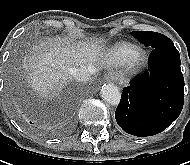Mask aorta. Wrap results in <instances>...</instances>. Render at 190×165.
<instances>
[{
	"mask_svg": "<svg viewBox=\"0 0 190 165\" xmlns=\"http://www.w3.org/2000/svg\"><path fill=\"white\" fill-rule=\"evenodd\" d=\"M101 97L108 104L117 106L121 99V93L118 87L112 83L104 84L101 88Z\"/></svg>",
	"mask_w": 190,
	"mask_h": 165,
	"instance_id": "aorta-1",
	"label": "aorta"
}]
</instances>
